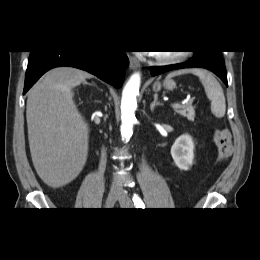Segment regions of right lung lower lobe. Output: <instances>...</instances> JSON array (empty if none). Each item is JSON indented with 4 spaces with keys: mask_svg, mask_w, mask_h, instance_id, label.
Masks as SVG:
<instances>
[{
    "mask_svg": "<svg viewBox=\"0 0 260 260\" xmlns=\"http://www.w3.org/2000/svg\"><path fill=\"white\" fill-rule=\"evenodd\" d=\"M129 60L124 51H31L25 77V94L48 70L71 66L88 71L119 88Z\"/></svg>",
    "mask_w": 260,
    "mask_h": 260,
    "instance_id": "1",
    "label": "right lung lower lobe"
}]
</instances>
